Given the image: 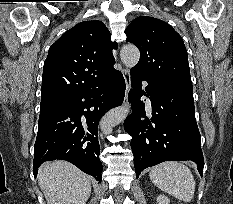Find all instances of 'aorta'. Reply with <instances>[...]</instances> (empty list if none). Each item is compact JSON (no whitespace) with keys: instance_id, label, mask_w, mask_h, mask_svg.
<instances>
[{"instance_id":"1","label":"aorta","mask_w":233,"mask_h":204,"mask_svg":"<svg viewBox=\"0 0 233 204\" xmlns=\"http://www.w3.org/2000/svg\"><path fill=\"white\" fill-rule=\"evenodd\" d=\"M120 57L126 67H134L139 59L140 52L134 45H126L120 51ZM126 107H117L109 111L101 120L100 127L102 132L107 135L112 133L113 127L121 123L128 115Z\"/></svg>"}]
</instances>
